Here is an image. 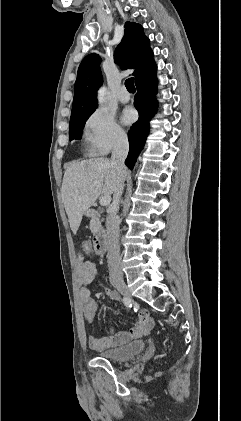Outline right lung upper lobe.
Returning <instances> with one entry per match:
<instances>
[{
	"label": "right lung upper lobe",
	"instance_id": "cb5924a9",
	"mask_svg": "<svg viewBox=\"0 0 241 421\" xmlns=\"http://www.w3.org/2000/svg\"><path fill=\"white\" fill-rule=\"evenodd\" d=\"M150 41L139 24L127 22L122 42L115 50V62L122 69H135L136 78L153 61ZM101 58L95 53L86 56L77 73L71 118L91 115L97 108V90L102 84L99 64Z\"/></svg>",
	"mask_w": 241,
	"mask_h": 421
}]
</instances>
